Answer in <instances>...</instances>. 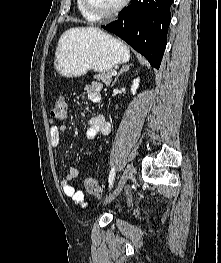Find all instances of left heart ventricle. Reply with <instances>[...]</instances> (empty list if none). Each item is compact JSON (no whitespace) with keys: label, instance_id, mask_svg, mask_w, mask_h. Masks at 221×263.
<instances>
[{"label":"left heart ventricle","instance_id":"left-heart-ventricle-1","mask_svg":"<svg viewBox=\"0 0 221 263\" xmlns=\"http://www.w3.org/2000/svg\"><path fill=\"white\" fill-rule=\"evenodd\" d=\"M90 7L98 12L103 13L110 11L118 6L121 0H88Z\"/></svg>","mask_w":221,"mask_h":263}]
</instances>
